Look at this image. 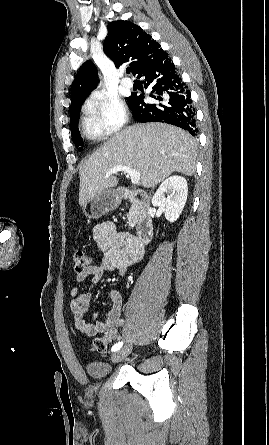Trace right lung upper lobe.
I'll use <instances>...</instances> for the list:
<instances>
[{"instance_id": "1", "label": "right lung upper lobe", "mask_w": 269, "mask_h": 445, "mask_svg": "<svg viewBox=\"0 0 269 445\" xmlns=\"http://www.w3.org/2000/svg\"><path fill=\"white\" fill-rule=\"evenodd\" d=\"M107 28L108 34L103 44L104 52L117 67L129 63L134 75L166 54L150 35L130 21H112ZM97 77V69L93 62L86 61L73 82L70 108L85 101L96 88Z\"/></svg>"}]
</instances>
